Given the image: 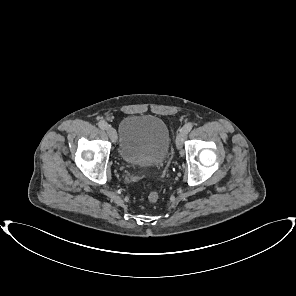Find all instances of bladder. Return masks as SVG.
<instances>
[{"instance_id":"bladder-1","label":"bladder","mask_w":296,"mask_h":296,"mask_svg":"<svg viewBox=\"0 0 296 296\" xmlns=\"http://www.w3.org/2000/svg\"><path fill=\"white\" fill-rule=\"evenodd\" d=\"M170 134L165 122L152 115H130L119 126V155L132 166L159 165L167 157Z\"/></svg>"}]
</instances>
